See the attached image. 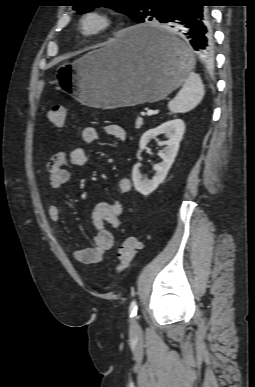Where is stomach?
Returning a JSON list of instances; mask_svg holds the SVG:
<instances>
[{"label":"stomach","instance_id":"1","mask_svg":"<svg viewBox=\"0 0 255 387\" xmlns=\"http://www.w3.org/2000/svg\"><path fill=\"white\" fill-rule=\"evenodd\" d=\"M158 30L164 29L142 24L119 32L103 47L59 66L57 84L70 89L79 102L96 108L164 99L185 82L193 59L188 46L166 30L183 54L170 56L144 40L143 33Z\"/></svg>","mask_w":255,"mask_h":387}]
</instances>
